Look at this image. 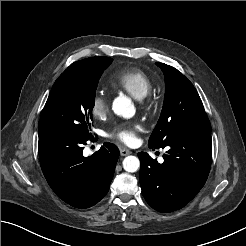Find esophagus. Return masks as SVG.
I'll return each instance as SVG.
<instances>
[{"label": "esophagus", "mask_w": 246, "mask_h": 246, "mask_svg": "<svg viewBox=\"0 0 246 246\" xmlns=\"http://www.w3.org/2000/svg\"><path fill=\"white\" fill-rule=\"evenodd\" d=\"M129 154H131V151H130V150H128V149H126V148H121V149H120V155H121V156H127V155H129Z\"/></svg>", "instance_id": "obj_1"}]
</instances>
